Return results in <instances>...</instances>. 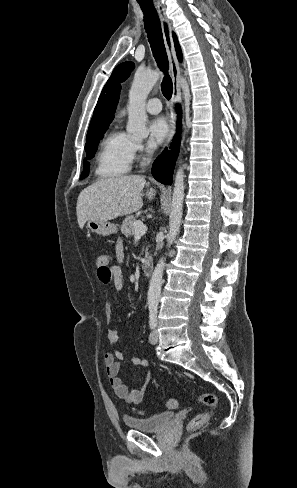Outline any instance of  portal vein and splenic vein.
Instances as JSON below:
<instances>
[{"instance_id":"1","label":"portal vein and splenic vein","mask_w":297,"mask_h":488,"mask_svg":"<svg viewBox=\"0 0 297 488\" xmlns=\"http://www.w3.org/2000/svg\"><path fill=\"white\" fill-rule=\"evenodd\" d=\"M133 227H134V237H135V239H139L147 231L146 225L143 224L141 221L135 222L134 225H133Z\"/></svg>"}]
</instances>
